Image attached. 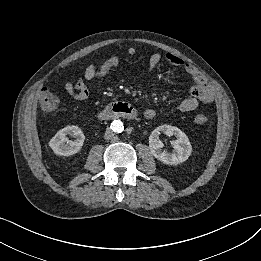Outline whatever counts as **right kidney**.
I'll return each instance as SVG.
<instances>
[{
    "label": "right kidney",
    "instance_id": "obj_1",
    "mask_svg": "<svg viewBox=\"0 0 261 261\" xmlns=\"http://www.w3.org/2000/svg\"><path fill=\"white\" fill-rule=\"evenodd\" d=\"M67 135H70L76 139L74 141H70L66 137ZM84 140L85 135L78 126H66L58 131L49 141V146L56 155L71 156L81 150Z\"/></svg>",
    "mask_w": 261,
    "mask_h": 261
}]
</instances>
